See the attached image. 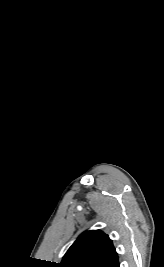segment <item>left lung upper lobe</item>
<instances>
[{"label":"left lung upper lobe","instance_id":"left-lung-upper-lobe-1","mask_svg":"<svg viewBox=\"0 0 164 267\" xmlns=\"http://www.w3.org/2000/svg\"><path fill=\"white\" fill-rule=\"evenodd\" d=\"M116 256L108 235L91 230L78 237L58 267H107Z\"/></svg>","mask_w":164,"mask_h":267}]
</instances>
